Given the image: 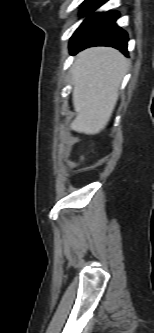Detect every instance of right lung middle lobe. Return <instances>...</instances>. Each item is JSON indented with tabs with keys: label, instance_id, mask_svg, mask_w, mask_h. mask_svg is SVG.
<instances>
[{
	"label": "right lung middle lobe",
	"instance_id": "1",
	"mask_svg": "<svg viewBox=\"0 0 154 333\" xmlns=\"http://www.w3.org/2000/svg\"><path fill=\"white\" fill-rule=\"evenodd\" d=\"M103 0H86L83 3L82 16L93 13V11L102 4ZM89 18V17H88ZM88 18L82 23V25L88 20ZM81 25V26H82ZM80 26V27H81Z\"/></svg>",
	"mask_w": 154,
	"mask_h": 333
}]
</instances>
